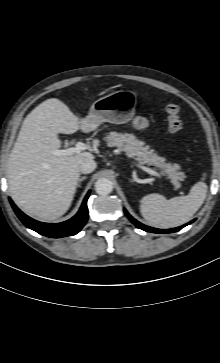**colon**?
I'll list each match as a JSON object with an SVG mask.
<instances>
[{"label": "colon", "instance_id": "5ec220e1", "mask_svg": "<svg viewBox=\"0 0 220 363\" xmlns=\"http://www.w3.org/2000/svg\"><path fill=\"white\" fill-rule=\"evenodd\" d=\"M168 118V127L172 133H179L183 129V122L180 118V106L177 103H168L166 105Z\"/></svg>", "mask_w": 220, "mask_h": 363}]
</instances>
